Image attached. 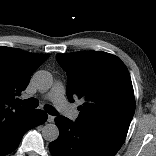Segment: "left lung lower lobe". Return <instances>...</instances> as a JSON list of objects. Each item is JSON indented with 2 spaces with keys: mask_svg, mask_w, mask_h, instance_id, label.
<instances>
[{
  "mask_svg": "<svg viewBox=\"0 0 156 156\" xmlns=\"http://www.w3.org/2000/svg\"><path fill=\"white\" fill-rule=\"evenodd\" d=\"M59 137L50 143L53 156H114L124 139L102 129L88 128L58 116Z\"/></svg>",
  "mask_w": 156,
  "mask_h": 156,
  "instance_id": "left-lung-lower-lobe-1",
  "label": "left lung lower lobe"
}]
</instances>
